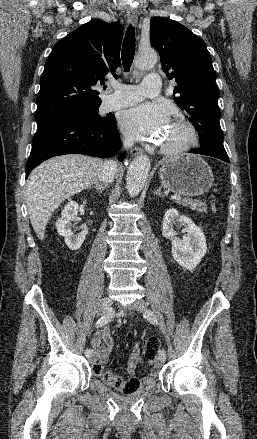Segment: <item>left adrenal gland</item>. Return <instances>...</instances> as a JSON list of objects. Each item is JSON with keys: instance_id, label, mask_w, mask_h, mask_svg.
I'll list each match as a JSON object with an SVG mask.
<instances>
[{"instance_id": "obj_1", "label": "left adrenal gland", "mask_w": 257, "mask_h": 439, "mask_svg": "<svg viewBox=\"0 0 257 439\" xmlns=\"http://www.w3.org/2000/svg\"><path fill=\"white\" fill-rule=\"evenodd\" d=\"M154 194L159 195V196H163L162 191H161V186L156 191H154Z\"/></svg>"}]
</instances>
